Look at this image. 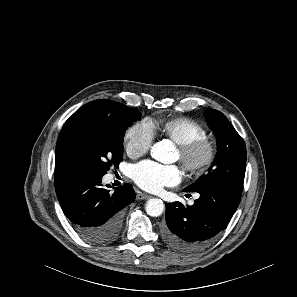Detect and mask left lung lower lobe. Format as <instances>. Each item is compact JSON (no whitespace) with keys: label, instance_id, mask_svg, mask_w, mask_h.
Returning a JSON list of instances; mask_svg holds the SVG:
<instances>
[{"label":"left lung lower lobe","instance_id":"1","mask_svg":"<svg viewBox=\"0 0 297 297\" xmlns=\"http://www.w3.org/2000/svg\"><path fill=\"white\" fill-rule=\"evenodd\" d=\"M243 186L218 183L197 190L200 197L192 206L166 203V223L161 228L163 241L172 249L192 252L205 246L229 223L236 211Z\"/></svg>","mask_w":297,"mask_h":297}]
</instances>
